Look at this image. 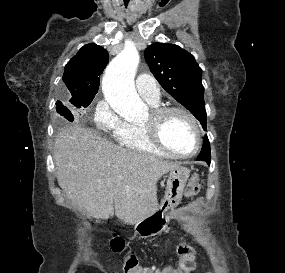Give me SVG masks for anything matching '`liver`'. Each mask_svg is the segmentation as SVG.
Returning <instances> with one entry per match:
<instances>
[{
  "instance_id": "1",
  "label": "liver",
  "mask_w": 285,
  "mask_h": 273,
  "mask_svg": "<svg viewBox=\"0 0 285 273\" xmlns=\"http://www.w3.org/2000/svg\"><path fill=\"white\" fill-rule=\"evenodd\" d=\"M57 181L89 216H116L127 224L158 208L157 181L179 163L127 150L81 125L63 128L54 143Z\"/></svg>"
}]
</instances>
